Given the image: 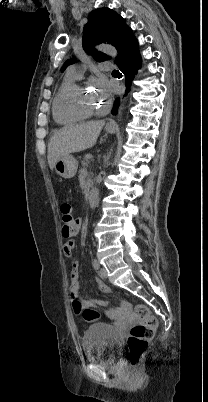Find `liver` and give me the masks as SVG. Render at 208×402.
Returning <instances> with one entry per match:
<instances>
[{"label":"liver","instance_id":"6515ba94","mask_svg":"<svg viewBox=\"0 0 208 402\" xmlns=\"http://www.w3.org/2000/svg\"><path fill=\"white\" fill-rule=\"evenodd\" d=\"M104 124V120L87 122V124H72V126H65L56 132L48 144L47 158L50 170H54L56 162L62 156L92 148L96 144Z\"/></svg>","mask_w":208,"mask_h":402}]
</instances>
